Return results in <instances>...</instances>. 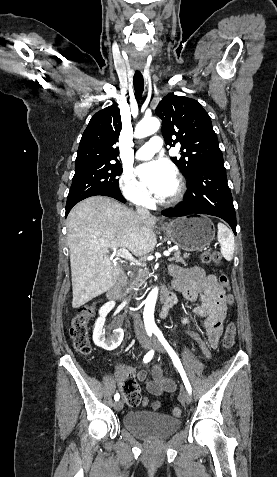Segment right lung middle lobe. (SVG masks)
<instances>
[{
  "label": "right lung middle lobe",
  "instance_id": "1",
  "mask_svg": "<svg viewBox=\"0 0 277 477\" xmlns=\"http://www.w3.org/2000/svg\"><path fill=\"white\" fill-rule=\"evenodd\" d=\"M121 173L122 166L119 162L94 163L75 167L66 209L96 193L121 194L116 178Z\"/></svg>",
  "mask_w": 277,
  "mask_h": 477
}]
</instances>
